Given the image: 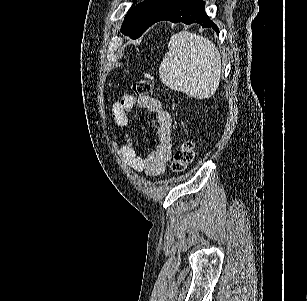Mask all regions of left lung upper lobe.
Returning a JSON list of instances; mask_svg holds the SVG:
<instances>
[{
	"mask_svg": "<svg viewBox=\"0 0 307 301\" xmlns=\"http://www.w3.org/2000/svg\"><path fill=\"white\" fill-rule=\"evenodd\" d=\"M179 0H145L131 9L122 24L121 32L132 39L139 38L166 10Z\"/></svg>",
	"mask_w": 307,
	"mask_h": 301,
	"instance_id": "5c2ea615",
	"label": "left lung upper lobe"
}]
</instances>
